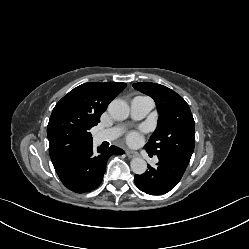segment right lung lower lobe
Returning <instances> with one entry per match:
<instances>
[{"instance_id":"98d812e1","label":"right lung lower lobe","mask_w":249,"mask_h":249,"mask_svg":"<svg viewBox=\"0 0 249 249\" xmlns=\"http://www.w3.org/2000/svg\"><path fill=\"white\" fill-rule=\"evenodd\" d=\"M93 152V144L80 152L58 174L62 183L76 193L90 192L97 188L106 170V162L113 154L122 155L124 151L116 146L108 150L98 148Z\"/></svg>"}]
</instances>
